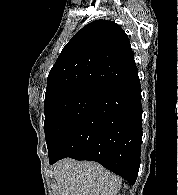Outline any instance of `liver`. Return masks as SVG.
I'll return each mask as SVG.
<instances>
[{
	"label": "liver",
	"instance_id": "6515ba94",
	"mask_svg": "<svg viewBox=\"0 0 178 195\" xmlns=\"http://www.w3.org/2000/svg\"><path fill=\"white\" fill-rule=\"evenodd\" d=\"M56 195H117L122 180L96 162L64 159L54 166Z\"/></svg>",
	"mask_w": 178,
	"mask_h": 195
}]
</instances>
